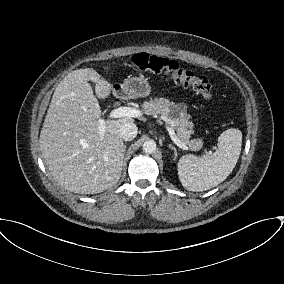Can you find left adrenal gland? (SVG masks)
Returning a JSON list of instances; mask_svg holds the SVG:
<instances>
[{
	"label": "left adrenal gland",
	"mask_w": 284,
	"mask_h": 284,
	"mask_svg": "<svg viewBox=\"0 0 284 284\" xmlns=\"http://www.w3.org/2000/svg\"><path fill=\"white\" fill-rule=\"evenodd\" d=\"M169 148L174 151V158L176 159V157H177V149L173 145H171V144H169Z\"/></svg>",
	"instance_id": "1"
}]
</instances>
